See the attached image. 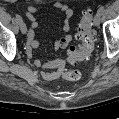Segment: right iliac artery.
<instances>
[{"label":"right iliac artery","instance_id":"obj_1","mask_svg":"<svg viewBox=\"0 0 119 119\" xmlns=\"http://www.w3.org/2000/svg\"><path fill=\"white\" fill-rule=\"evenodd\" d=\"M16 21H17V23H20L21 21H22V18H21V16L20 15H16Z\"/></svg>","mask_w":119,"mask_h":119}]
</instances>
